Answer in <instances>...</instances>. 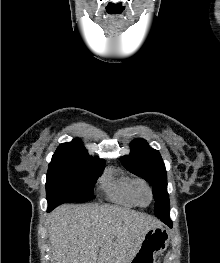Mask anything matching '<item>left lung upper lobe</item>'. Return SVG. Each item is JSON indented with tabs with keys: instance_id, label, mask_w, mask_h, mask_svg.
I'll return each instance as SVG.
<instances>
[{
	"instance_id": "obj_1",
	"label": "left lung upper lobe",
	"mask_w": 220,
	"mask_h": 263,
	"mask_svg": "<svg viewBox=\"0 0 220 263\" xmlns=\"http://www.w3.org/2000/svg\"><path fill=\"white\" fill-rule=\"evenodd\" d=\"M131 152L121 158V162L130 172L144 178L153 186L156 216L169 212L167 193V173L160 153L148 146L144 139H136L130 144Z\"/></svg>"
}]
</instances>
